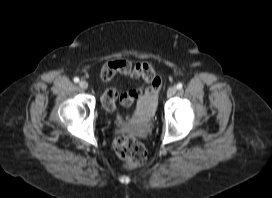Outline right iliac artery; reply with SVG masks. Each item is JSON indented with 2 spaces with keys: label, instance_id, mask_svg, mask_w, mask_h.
Listing matches in <instances>:
<instances>
[{
  "label": "right iliac artery",
  "instance_id": "82829eb1",
  "mask_svg": "<svg viewBox=\"0 0 272 198\" xmlns=\"http://www.w3.org/2000/svg\"><path fill=\"white\" fill-rule=\"evenodd\" d=\"M74 82H75V83H78V82H79V78H78V77H75V78H74Z\"/></svg>",
  "mask_w": 272,
  "mask_h": 198
}]
</instances>
